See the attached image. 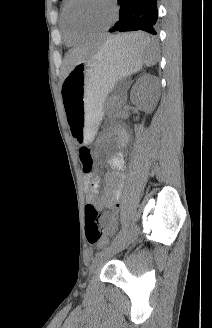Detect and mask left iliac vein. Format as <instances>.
I'll return each mask as SVG.
<instances>
[{
  "label": "left iliac vein",
  "instance_id": "obj_1",
  "mask_svg": "<svg viewBox=\"0 0 212 328\" xmlns=\"http://www.w3.org/2000/svg\"><path fill=\"white\" fill-rule=\"evenodd\" d=\"M136 234V226L134 225L120 240L114 242L110 246L99 252L93 259L89 269V275H92L99 266L104 264L113 254L125 249L133 240Z\"/></svg>",
  "mask_w": 212,
  "mask_h": 328
}]
</instances>
